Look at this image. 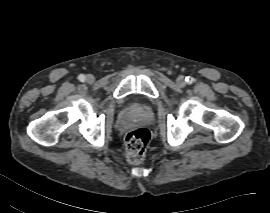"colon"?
I'll list each match as a JSON object with an SVG mask.
<instances>
[{"label": "colon", "mask_w": 270, "mask_h": 213, "mask_svg": "<svg viewBox=\"0 0 270 213\" xmlns=\"http://www.w3.org/2000/svg\"><path fill=\"white\" fill-rule=\"evenodd\" d=\"M150 141L149 131L145 128H137L130 131L125 139L126 158L130 163L140 162L146 152Z\"/></svg>", "instance_id": "5ec220e1"}]
</instances>
